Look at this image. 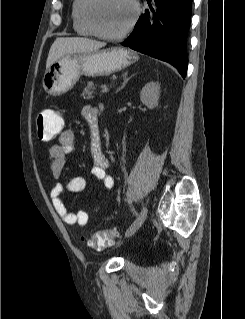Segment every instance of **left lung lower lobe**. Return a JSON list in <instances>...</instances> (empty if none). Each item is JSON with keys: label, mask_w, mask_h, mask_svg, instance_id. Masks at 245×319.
Returning a JSON list of instances; mask_svg holds the SVG:
<instances>
[{"label": "left lung lower lobe", "mask_w": 245, "mask_h": 319, "mask_svg": "<svg viewBox=\"0 0 245 319\" xmlns=\"http://www.w3.org/2000/svg\"><path fill=\"white\" fill-rule=\"evenodd\" d=\"M150 9L140 17L122 43L172 64L184 78L187 72V33L192 0H147Z\"/></svg>", "instance_id": "1"}]
</instances>
